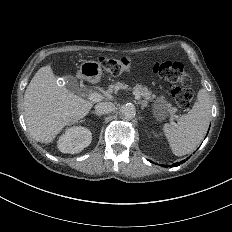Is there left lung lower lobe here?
Returning <instances> with one entry per match:
<instances>
[{
    "mask_svg": "<svg viewBox=\"0 0 232 232\" xmlns=\"http://www.w3.org/2000/svg\"><path fill=\"white\" fill-rule=\"evenodd\" d=\"M188 159V158H187ZM185 161H181V162H177L175 164H172L170 167H175V166H179L180 164H183ZM164 166V165H163ZM166 167V166H165Z\"/></svg>",
    "mask_w": 232,
    "mask_h": 232,
    "instance_id": "0a47b994",
    "label": "left lung lower lobe"
}]
</instances>
